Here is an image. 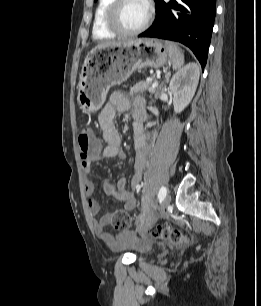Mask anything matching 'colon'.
Masks as SVG:
<instances>
[{
  "mask_svg": "<svg viewBox=\"0 0 261 306\" xmlns=\"http://www.w3.org/2000/svg\"><path fill=\"white\" fill-rule=\"evenodd\" d=\"M80 156L83 162L96 158L101 150L100 140L93 134V131L85 127L80 130L78 135ZM111 225L117 230H128L131 227V217L124 210H116L111 213ZM153 237L169 241L173 244L180 245L189 241V236L178 229L164 226H154L148 230Z\"/></svg>",
  "mask_w": 261,
  "mask_h": 306,
  "instance_id": "obj_1",
  "label": "colon"
}]
</instances>
